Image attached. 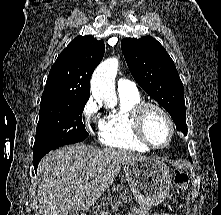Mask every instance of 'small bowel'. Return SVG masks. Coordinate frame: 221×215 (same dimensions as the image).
Returning a JSON list of instances; mask_svg holds the SVG:
<instances>
[{"mask_svg":"<svg viewBox=\"0 0 221 215\" xmlns=\"http://www.w3.org/2000/svg\"><path fill=\"white\" fill-rule=\"evenodd\" d=\"M154 215H171L169 213H158V214H154Z\"/></svg>","mask_w":221,"mask_h":215,"instance_id":"obj_1","label":"small bowel"}]
</instances>
